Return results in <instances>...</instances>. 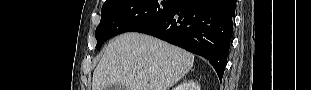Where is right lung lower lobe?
Wrapping results in <instances>:
<instances>
[{
	"label": "right lung lower lobe",
	"instance_id": "98d812e1",
	"mask_svg": "<svg viewBox=\"0 0 311 90\" xmlns=\"http://www.w3.org/2000/svg\"><path fill=\"white\" fill-rule=\"evenodd\" d=\"M235 5V0H180L170 13L137 32L205 57L222 80Z\"/></svg>",
	"mask_w": 311,
	"mask_h": 90
}]
</instances>
